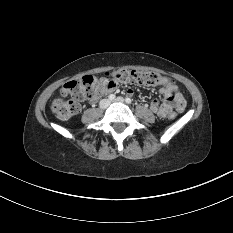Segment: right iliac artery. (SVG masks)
<instances>
[{
	"label": "right iliac artery",
	"mask_w": 233,
	"mask_h": 233,
	"mask_svg": "<svg viewBox=\"0 0 233 233\" xmlns=\"http://www.w3.org/2000/svg\"><path fill=\"white\" fill-rule=\"evenodd\" d=\"M114 99H115V95H114V94H110V95H109V100L112 101V100H114Z\"/></svg>",
	"instance_id": "82829eb1"
}]
</instances>
